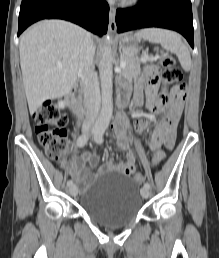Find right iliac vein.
<instances>
[{
    "mask_svg": "<svg viewBox=\"0 0 219 258\" xmlns=\"http://www.w3.org/2000/svg\"><path fill=\"white\" fill-rule=\"evenodd\" d=\"M69 193L72 195V196H76L78 194V188L76 185H72L70 186L69 188Z\"/></svg>",
    "mask_w": 219,
    "mask_h": 258,
    "instance_id": "63e3f726",
    "label": "right iliac vein"
}]
</instances>
